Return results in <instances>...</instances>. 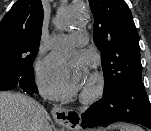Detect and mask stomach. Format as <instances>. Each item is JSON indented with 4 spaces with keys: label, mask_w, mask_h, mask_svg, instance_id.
Instances as JSON below:
<instances>
[{
    "label": "stomach",
    "mask_w": 151,
    "mask_h": 131,
    "mask_svg": "<svg viewBox=\"0 0 151 131\" xmlns=\"http://www.w3.org/2000/svg\"><path fill=\"white\" fill-rule=\"evenodd\" d=\"M97 131H106V130H104V129L100 128V129H98Z\"/></svg>",
    "instance_id": "1"
}]
</instances>
